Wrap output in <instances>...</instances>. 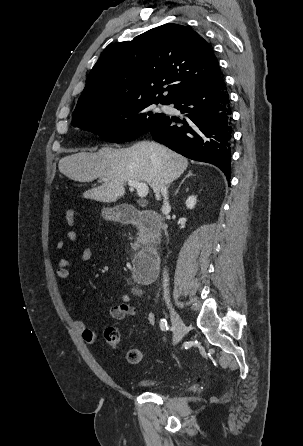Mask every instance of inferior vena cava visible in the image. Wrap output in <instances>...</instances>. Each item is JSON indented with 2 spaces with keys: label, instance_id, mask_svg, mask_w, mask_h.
I'll list each match as a JSON object with an SVG mask.
<instances>
[{
  "label": "inferior vena cava",
  "instance_id": "602c4592",
  "mask_svg": "<svg viewBox=\"0 0 303 446\" xmlns=\"http://www.w3.org/2000/svg\"><path fill=\"white\" fill-rule=\"evenodd\" d=\"M161 194L164 198L163 201V206H162V212L164 214H166V211L170 208L169 206V202H168V189L166 186H163L161 188ZM168 282H169V277H168V273L166 271V269H164L163 272V288H164V299L165 300H169V288H168Z\"/></svg>",
  "mask_w": 303,
  "mask_h": 446
}]
</instances>
